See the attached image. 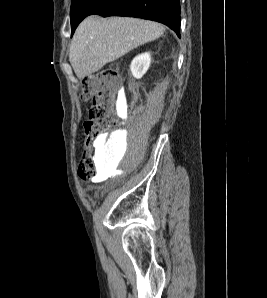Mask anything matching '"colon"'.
I'll return each mask as SVG.
<instances>
[{
    "label": "colon",
    "mask_w": 267,
    "mask_h": 298,
    "mask_svg": "<svg viewBox=\"0 0 267 298\" xmlns=\"http://www.w3.org/2000/svg\"><path fill=\"white\" fill-rule=\"evenodd\" d=\"M118 87L119 74L112 68L83 80L79 97L84 101L92 100L88 118L83 123L85 146L78 167V174L83 180H91L98 176L95 151L101 143V135L119 123L114 113V98Z\"/></svg>",
    "instance_id": "colon-1"
}]
</instances>
